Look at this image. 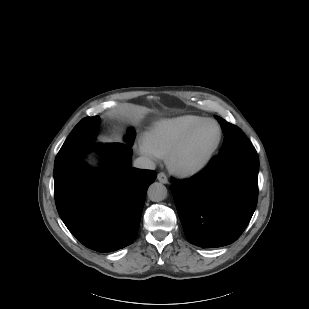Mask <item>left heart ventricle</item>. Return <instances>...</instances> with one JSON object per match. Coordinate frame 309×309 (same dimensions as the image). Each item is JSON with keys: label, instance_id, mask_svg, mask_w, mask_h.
Returning <instances> with one entry per match:
<instances>
[{"label": "left heart ventricle", "instance_id": "b2bd125f", "mask_svg": "<svg viewBox=\"0 0 309 309\" xmlns=\"http://www.w3.org/2000/svg\"><path fill=\"white\" fill-rule=\"evenodd\" d=\"M218 130L214 124L203 126L184 148L181 159L186 164L201 160L217 139Z\"/></svg>", "mask_w": 309, "mask_h": 309}]
</instances>
